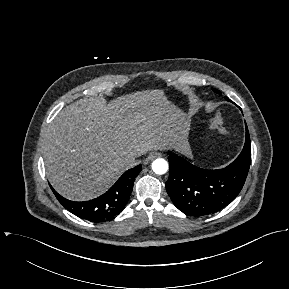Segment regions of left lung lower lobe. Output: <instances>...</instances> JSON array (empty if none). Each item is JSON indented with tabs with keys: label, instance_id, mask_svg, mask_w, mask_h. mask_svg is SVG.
Wrapping results in <instances>:
<instances>
[{
	"label": "left lung lower lobe",
	"instance_id": "left-lung-lower-lobe-1",
	"mask_svg": "<svg viewBox=\"0 0 289 289\" xmlns=\"http://www.w3.org/2000/svg\"><path fill=\"white\" fill-rule=\"evenodd\" d=\"M168 155L166 190L174 205L189 216L215 213L234 200L245 183L251 163L248 128L242 152L226 168L205 170L170 151Z\"/></svg>",
	"mask_w": 289,
	"mask_h": 289
}]
</instances>
